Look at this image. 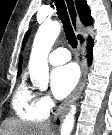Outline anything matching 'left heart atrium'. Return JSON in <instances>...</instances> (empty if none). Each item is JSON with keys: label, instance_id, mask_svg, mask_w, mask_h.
<instances>
[{"label": "left heart atrium", "instance_id": "39dd6f15", "mask_svg": "<svg viewBox=\"0 0 112 135\" xmlns=\"http://www.w3.org/2000/svg\"><path fill=\"white\" fill-rule=\"evenodd\" d=\"M79 79V71L75 64H65L56 67L51 72V88L58 99L67 96L76 86Z\"/></svg>", "mask_w": 112, "mask_h": 135}]
</instances>
